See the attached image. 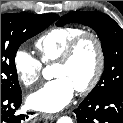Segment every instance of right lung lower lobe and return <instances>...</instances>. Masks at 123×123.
I'll return each instance as SVG.
<instances>
[{
	"mask_svg": "<svg viewBox=\"0 0 123 123\" xmlns=\"http://www.w3.org/2000/svg\"><path fill=\"white\" fill-rule=\"evenodd\" d=\"M22 101L21 91L15 93H1V123H23L28 114L16 115Z\"/></svg>",
	"mask_w": 123,
	"mask_h": 123,
	"instance_id": "1",
	"label": "right lung lower lobe"
}]
</instances>
